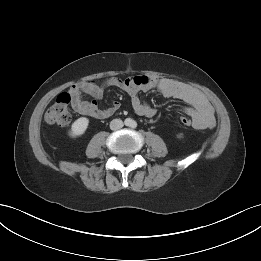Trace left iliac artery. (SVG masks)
Segmentation results:
<instances>
[{
	"label": "left iliac artery",
	"mask_w": 261,
	"mask_h": 261,
	"mask_svg": "<svg viewBox=\"0 0 261 261\" xmlns=\"http://www.w3.org/2000/svg\"><path fill=\"white\" fill-rule=\"evenodd\" d=\"M131 127H132V128H136V127H137V123H136L135 121H133V122L131 123Z\"/></svg>",
	"instance_id": "1"
}]
</instances>
